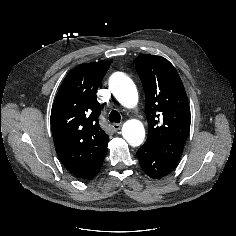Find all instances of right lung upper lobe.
Here are the masks:
<instances>
[{"mask_svg": "<svg viewBox=\"0 0 236 236\" xmlns=\"http://www.w3.org/2000/svg\"><path fill=\"white\" fill-rule=\"evenodd\" d=\"M110 63H84L64 79L51 111V129L59 159L73 175L86 179L107 153L108 135L100 128L97 86Z\"/></svg>", "mask_w": 236, "mask_h": 236, "instance_id": "obj_1", "label": "right lung upper lobe"}]
</instances>
